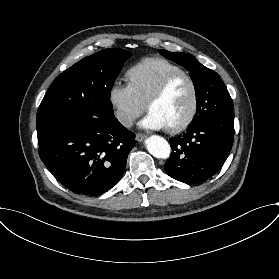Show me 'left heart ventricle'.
Here are the masks:
<instances>
[{
  "label": "left heart ventricle",
  "mask_w": 279,
  "mask_h": 279,
  "mask_svg": "<svg viewBox=\"0 0 279 279\" xmlns=\"http://www.w3.org/2000/svg\"><path fill=\"white\" fill-rule=\"evenodd\" d=\"M193 100V89L186 78L176 81L166 94L154 102L150 111L161 117L167 127L180 124L188 115Z\"/></svg>",
  "instance_id": "obj_1"
}]
</instances>
